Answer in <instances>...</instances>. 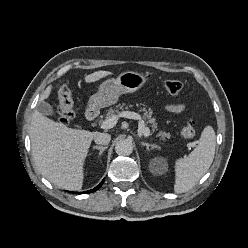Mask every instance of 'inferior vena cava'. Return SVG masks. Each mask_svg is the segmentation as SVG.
I'll return each mask as SVG.
<instances>
[{"label":"inferior vena cava","mask_w":248,"mask_h":248,"mask_svg":"<svg viewBox=\"0 0 248 248\" xmlns=\"http://www.w3.org/2000/svg\"><path fill=\"white\" fill-rule=\"evenodd\" d=\"M111 140V136L108 133L97 132L94 135V141L99 145H107Z\"/></svg>","instance_id":"obj_1"}]
</instances>
